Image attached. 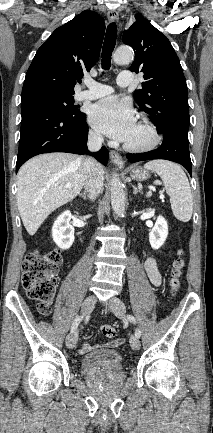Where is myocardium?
<instances>
[{
	"mask_svg": "<svg viewBox=\"0 0 213 433\" xmlns=\"http://www.w3.org/2000/svg\"><path fill=\"white\" fill-rule=\"evenodd\" d=\"M139 124L149 133L150 139L143 145L133 146L124 143L123 148L132 153H143L156 148L161 142V135L157 127L146 119L140 120Z\"/></svg>",
	"mask_w": 213,
	"mask_h": 433,
	"instance_id": "obj_1",
	"label": "myocardium"
}]
</instances>
